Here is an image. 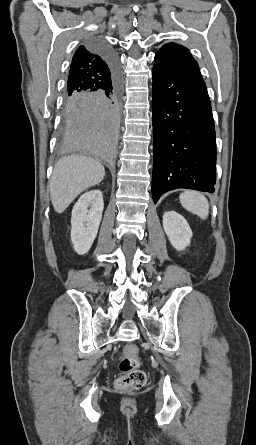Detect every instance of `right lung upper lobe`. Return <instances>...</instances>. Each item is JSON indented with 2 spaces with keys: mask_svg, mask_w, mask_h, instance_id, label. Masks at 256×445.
<instances>
[{
  "mask_svg": "<svg viewBox=\"0 0 256 445\" xmlns=\"http://www.w3.org/2000/svg\"><path fill=\"white\" fill-rule=\"evenodd\" d=\"M110 78V69L100 51L88 43L81 45L71 62L66 97L98 91Z\"/></svg>",
  "mask_w": 256,
  "mask_h": 445,
  "instance_id": "obj_1",
  "label": "right lung upper lobe"
}]
</instances>
